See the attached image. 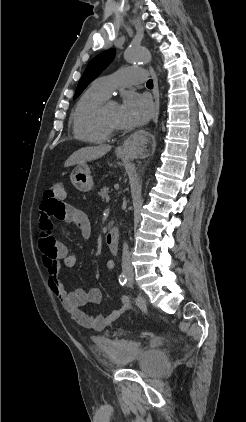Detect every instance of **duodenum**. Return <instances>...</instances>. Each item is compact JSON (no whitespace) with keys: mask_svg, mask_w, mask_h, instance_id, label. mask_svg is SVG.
<instances>
[{"mask_svg":"<svg viewBox=\"0 0 246 422\" xmlns=\"http://www.w3.org/2000/svg\"><path fill=\"white\" fill-rule=\"evenodd\" d=\"M106 240V244L108 246V248L110 249V251L114 254H116L118 252L119 249V232L117 229L113 228L110 229L105 237Z\"/></svg>","mask_w":246,"mask_h":422,"instance_id":"410a0bca","label":"duodenum"}]
</instances>
